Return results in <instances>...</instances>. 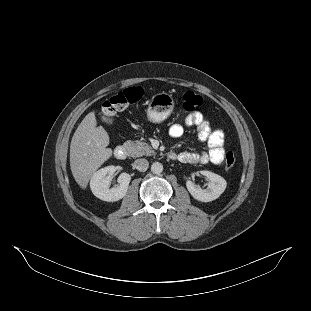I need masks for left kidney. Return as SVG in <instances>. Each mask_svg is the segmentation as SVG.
Masks as SVG:
<instances>
[{
    "label": "left kidney",
    "mask_w": 311,
    "mask_h": 311,
    "mask_svg": "<svg viewBox=\"0 0 311 311\" xmlns=\"http://www.w3.org/2000/svg\"><path fill=\"white\" fill-rule=\"evenodd\" d=\"M197 173V172H196ZM209 180L206 189L196 185L192 180L186 181V187L191 195L197 200L208 202L218 198L226 188V180L210 171H199Z\"/></svg>",
    "instance_id": "5707ae66"
}]
</instances>
